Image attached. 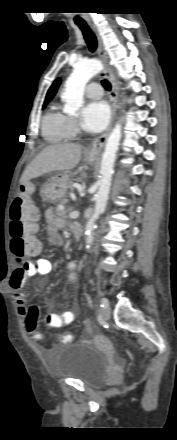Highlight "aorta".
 I'll use <instances>...</instances> for the list:
<instances>
[{
	"label": "aorta",
	"instance_id": "762f6f07",
	"mask_svg": "<svg viewBox=\"0 0 177 440\" xmlns=\"http://www.w3.org/2000/svg\"><path fill=\"white\" fill-rule=\"evenodd\" d=\"M103 69L102 63L97 59L80 61L65 83L63 98L66 102L64 112L75 115L83 105L84 89L88 81ZM121 139V124L117 123L111 131L105 145L101 161V179L99 189L95 196L94 213L85 226L86 248L89 249L93 242L96 220L105 210L110 193L112 174L116 152Z\"/></svg>",
	"mask_w": 177,
	"mask_h": 440
}]
</instances>
